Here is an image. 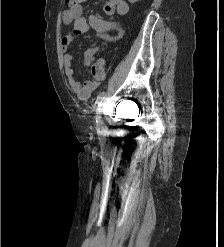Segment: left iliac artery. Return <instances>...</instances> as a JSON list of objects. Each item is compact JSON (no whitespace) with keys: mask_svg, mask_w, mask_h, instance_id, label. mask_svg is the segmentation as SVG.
<instances>
[{"mask_svg":"<svg viewBox=\"0 0 224 247\" xmlns=\"http://www.w3.org/2000/svg\"><path fill=\"white\" fill-rule=\"evenodd\" d=\"M105 95H106V93H105L104 91H102V92H100V93L98 94L97 99H96V103H97L98 107H100L102 101H103L104 98H105ZM96 122H97V118H96Z\"/></svg>","mask_w":224,"mask_h":247,"instance_id":"left-iliac-artery-1","label":"left iliac artery"}]
</instances>
